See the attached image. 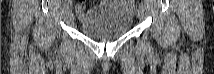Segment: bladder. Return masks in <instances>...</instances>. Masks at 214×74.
<instances>
[{
	"label": "bladder",
	"instance_id": "bladder-1",
	"mask_svg": "<svg viewBox=\"0 0 214 74\" xmlns=\"http://www.w3.org/2000/svg\"><path fill=\"white\" fill-rule=\"evenodd\" d=\"M132 20L131 10L122 5H98L81 20L79 27L89 38L109 40L125 35L131 28Z\"/></svg>",
	"mask_w": 214,
	"mask_h": 74
}]
</instances>
